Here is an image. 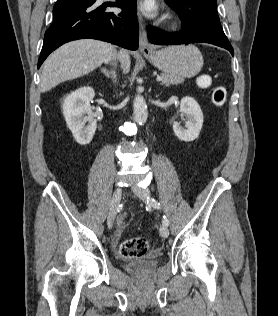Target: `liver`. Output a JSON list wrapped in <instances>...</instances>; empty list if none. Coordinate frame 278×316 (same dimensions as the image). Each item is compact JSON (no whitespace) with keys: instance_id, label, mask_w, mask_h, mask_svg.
<instances>
[{"instance_id":"1","label":"liver","mask_w":278,"mask_h":316,"mask_svg":"<svg viewBox=\"0 0 278 316\" xmlns=\"http://www.w3.org/2000/svg\"><path fill=\"white\" fill-rule=\"evenodd\" d=\"M114 47L94 39H81L64 44L44 62L40 90L46 92L56 85L84 76L95 70L113 54ZM124 73L130 70V56L127 51L119 53Z\"/></svg>"}]
</instances>
